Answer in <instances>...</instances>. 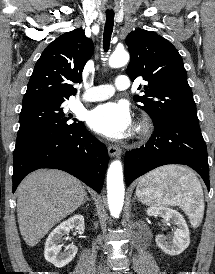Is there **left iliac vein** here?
<instances>
[{
	"instance_id": "left-iliac-vein-1",
	"label": "left iliac vein",
	"mask_w": 215,
	"mask_h": 274,
	"mask_svg": "<svg viewBox=\"0 0 215 274\" xmlns=\"http://www.w3.org/2000/svg\"><path fill=\"white\" fill-rule=\"evenodd\" d=\"M106 274H117V273H106Z\"/></svg>"
}]
</instances>
